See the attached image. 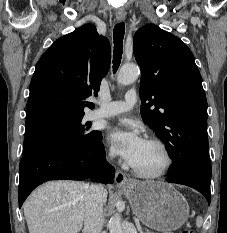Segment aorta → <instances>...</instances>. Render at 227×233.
I'll use <instances>...</instances> for the list:
<instances>
[{"label":"aorta","instance_id":"obj_1","mask_svg":"<svg viewBox=\"0 0 227 233\" xmlns=\"http://www.w3.org/2000/svg\"><path fill=\"white\" fill-rule=\"evenodd\" d=\"M140 74L139 67L135 64L124 65L119 70L117 75V82L122 85H129L135 82ZM110 233H123L121 216L115 213L109 221Z\"/></svg>","mask_w":227,"mask_h":233}]
</instances>
